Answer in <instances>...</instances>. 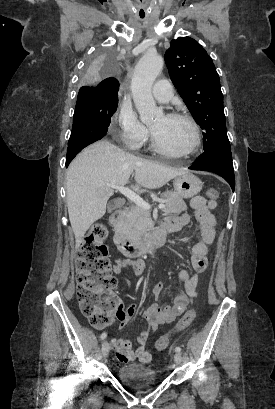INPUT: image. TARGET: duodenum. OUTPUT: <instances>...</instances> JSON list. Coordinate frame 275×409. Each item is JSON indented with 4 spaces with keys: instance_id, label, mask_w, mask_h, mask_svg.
Segmentation results:
<instances>
[{
    "instance_id": "410a0bca",
    "label": "duodenum",
    "mask_w": 275,
    "mask_h": 409,
    "mask_svg": "<svg viewBox=\"0 0 275 409\" xmlns=\"http://www.w3.org/2000/svg\"><path fill=\"white\" fill-rule=\"evenodd\" d=\"M123 211L117 210L110 216V224L114 233V243L126 257L137 258L155 247L165 243L167 233L172 228L166 224L150 231L146 241L138 242L130 239L122 226Z\"/></svg>"
}]
</instances>
